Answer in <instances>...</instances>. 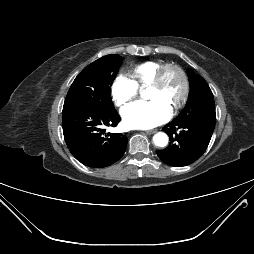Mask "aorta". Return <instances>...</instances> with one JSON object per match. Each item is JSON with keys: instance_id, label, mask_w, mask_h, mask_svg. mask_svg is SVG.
<instances>
[{"instance_id": "obj_1", "label": "aorta", "mask_w": 254, "mask_h": 254, "mask_svg": "<svg viewBox=\"0 0 254 254\" xmlns=\"http://www.w3.org/2000/svg\"><path fill=\"white\" fill-rule=\"evenodd\" d=\"M153 142L157 147H165L168 144V136L163 132H159L153 136Z\"/></svg>"}]
</instances>
